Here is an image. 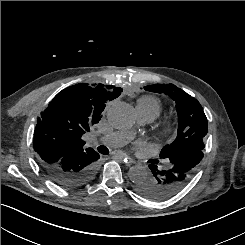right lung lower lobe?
Listing matches in <instances>:
<instances>
[{
  "label": "right lung lower lobe",
  "instance_id": "98d812e1",
  "mask_svg": "<svg viewBox=\"0 0 245 245\" xmlns=\"http://www.w3.org/2000/svg\"><path fill=\"white\" fill-rule=\"evenodd\" d=\"M99 154L95 151L71 154L54 164L39 161L47 176L57 185L74 189L91 181L97 172Z\"/></svg>",
  "mask_w": 245,
  "mask_h": 245
}]
</instances>
